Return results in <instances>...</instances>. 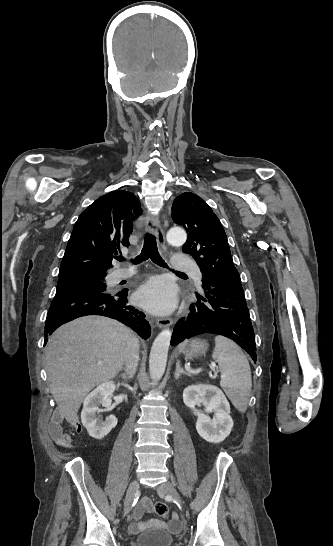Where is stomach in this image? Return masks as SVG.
<instances>
[{
	"label": "stomach",
	"instance_id": "0dacf381",
	"mask_svg": "<svg viewBox=\"0 0 333 546\" xmlns=\"http://www.w3.org/2000/svg\"><path fill=\"white\" fill-rule=\"evenodd\" d=\"M206 349H207L206 341H203L201 339H194L191 342H189L186 346H184L182 351L188 358H191L199 354H204L206 352Z\"/></svg>",
	"mask_w": 333,
	"mask_h": 546
}]
</instances>
